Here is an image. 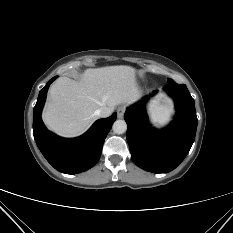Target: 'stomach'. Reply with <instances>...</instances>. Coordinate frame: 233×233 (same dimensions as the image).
<instances>
[{"label":"stomach","mask_w":233,"mask_h":233,"mask_svg":"<svg viewBox=\"0 0 233 233\" xmlns=\"http://www.w3.org/2000/svg\"><path fill=\"white\" fill-rule=\"evenodd\" d=\"M150 114H151V117L153 120H155L157 118V112L155 109H151Z\"/></svg>","instance_id":"obj_1"}]
</instances>
